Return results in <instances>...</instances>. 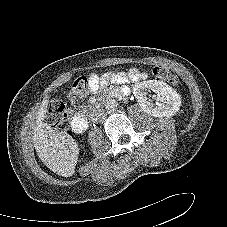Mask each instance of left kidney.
Instances as JSON below:
<instances>
[{"label": "left kidney", "mask_w": 227, "mask_h": 227, "mask_svg": "<svg viewBox=\"0 0 227 227\" xmlns=\"http://www.w3.org/2000/svg\"><path fill=\"white\" fill-rule=\"evenodd\" d=\"M156 94L159 101L156 105L146 97V91ZM133 94L144 112L154 117L173 116L179 111L181 98L179 94L168 84L158 80L139 82L133 87Z\"/></svg>", "instance_id": "5707ae66"}]
</instances>
